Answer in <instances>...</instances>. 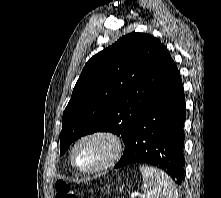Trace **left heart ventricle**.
<instances>
[{"label":"left heart ventricle","instance_id":"obj_1","mask_svg":"<svg viewBox=\"0 0 221 198\" xmlns=\"http://www.w3.org/2000/svg\"><path fill=\"white\" fill-rule=\"evenodd\" d=\"M110 146L102 139H92L81 143L75 152V162L83 168L98 166L108 156Z\"/></svg>","mask_w":221,"mask_h":198}]
</instances>
